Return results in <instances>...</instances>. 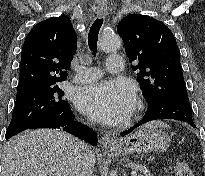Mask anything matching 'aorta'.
I'll list each match as a JSON object with an SVG mask.
<instances>
[{
    "mask_svg": "<svg viewBox=\"0 0 205 176\" xmlns=\"http://www.w3.org/2000/svg\"><path fill=\"white\" fill-rule=\"evenodd\" d=\"M121 46V38L116 34H110L102 38L100 42L101 50L105 52L116 51Z\"/></svg>",
    "mask_w": 205,
    "mask_h": 176,
    "instance_id": "762f6f07",
    "label": "aorta"
}]
</instances>
